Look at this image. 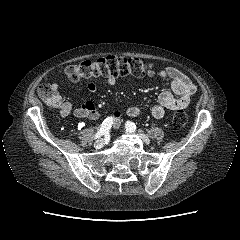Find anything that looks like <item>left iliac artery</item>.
Here are the masks:
<instances>
[{
  "mask_svg": "<svg viewBox=\"0 0 240 240\" xmlns=\"http://www.w3.org/2000/svg\"><path fill=\"white\" fill-rule=\"evenodd\" d=\"M125 128L129 132H135L136 129H137L135 123L132 122V121H127L126 124H125Z\"/></svg>",
  "mask_w": 240,
  "mask_h": 240,
  "instance_id": "obj_1",
  "label": "left iliac artery"
}]
</instances>
